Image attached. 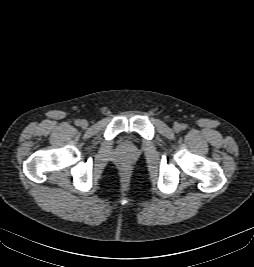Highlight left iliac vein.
Here are the masks:
<instances>
[{
    "label": "left iliac vein",
    "mask_w": 254,
    "mask_h": 267,
    "mask_svg": "<svg viewBox=\"0 0 254 267\" xmlns=\"http://www.w3.org/2000/svg\"><path fill=\"white\" fill-rule=\"evenodd\" d=\"M174 130H175L176 132H178V131L180 130V125H179V124H175V125H174Z\"/></svg>",
    "instance_id": "4c4485c4"
}]
</instances>
